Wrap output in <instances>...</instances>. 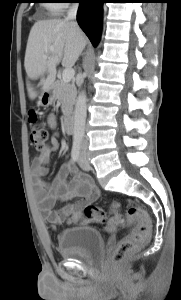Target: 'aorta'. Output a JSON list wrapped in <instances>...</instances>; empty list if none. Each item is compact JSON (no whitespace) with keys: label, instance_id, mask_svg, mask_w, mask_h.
Wrapping results in <instances>:
<instances>
[{"label":"aorta","instance_id":"762f6f07","mask_svg":"<svg viewBox=\"0 0 181 300\" xmlns=\"http://www.w3.org/2000/svg\"><path fill=\"white\" fill-rule=\"evenodd\" d=\"M87 116V96L85 91H81L77 97L74 111L73 137L82 139L85 134V123Z\"/></svg>","mask_w":181,"mask_h":300}]
</instances>
